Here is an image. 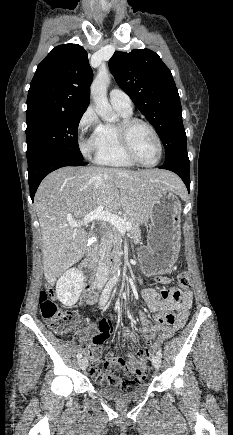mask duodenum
<instances>
[{
    "label": "duodenum",
    "instance_id": "duodenum-1",
    "mask_svg": "<svg viewBox=\"0 0 233 435\" xmlns=\"http://www.w3.org/2000/svg\"><path fill=\"white\" fill-rule=\"evenodd\" d=\"M97 248H98L97 243L91 244L90 247L88 248L87 259L84 262H82V264L80 265V269L91 279H94L97 270L94 267V265L92 264V261L90 258L96 252ZM117 271H118V269H117V267H115L113 269V273H117ZM97 299H98L97 293L94 289L92 281H90L86 285V291L84 294V301L87 304H91V303H94Z\"/></svg>",
    "mask_w": 233,
    "mask_h": 435
}]
</instances>
